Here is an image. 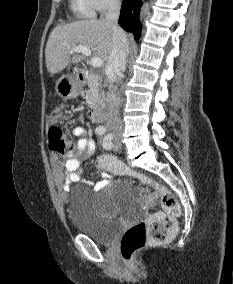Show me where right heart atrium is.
I'll return each mask as SVG.
<instances>
[{
  "mask_svg": "<svg viewBox=\"0 0 233 284\" xmlns=\"http://www.w3.org/2000/svg\"><path fill=\"white\" fill-rule=\"evenodd\" d=\"M95 11L105 12L120 5L121 0H90Z\"/></svg>",
  "mask_w": 233,
  "mask_h": 284,
  "instance_id": "1",
  "label": "right heart atrium"
}]
</instances>
